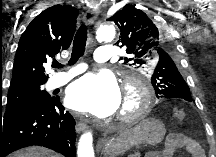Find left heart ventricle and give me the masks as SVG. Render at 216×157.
<instances>
[{
  "mask_svg": "<svg viewBox=\"0 0 216 157\" xmlns=\"http://www.w3.org/2000/svg\"><path fill=\"white\" fill-rule=\"evenodd\" d=\"M135 106V101L131 96H126L122 100V103L119 107V113L122 111H129Z\"/></svg>",
  "mask_w": 216,
  "mask_h": 157,
  "instance_id": "obj_1",
  "label": "left heart ventricle"
}]
</instances>
